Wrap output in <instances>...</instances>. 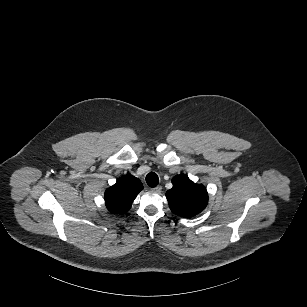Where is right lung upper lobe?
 <instances>
[{
    "instance_id": "1",
    "label": "right lung upper lobe",
    "mask_w": 307,
    "mask_h": 307,
    "mask_svg": "<svg viewBox=\"0 0 307 307\" xmlns=\"http://www.w3.org/2000/svg\"><path fill=\"white\" fill-rule=\"evenodd\" d=\"M142 189L143 185L139 179L130 174L122 176L105 191V203L108 210L115 214L127 212Z\"/></svg>"
}]
</instances>
